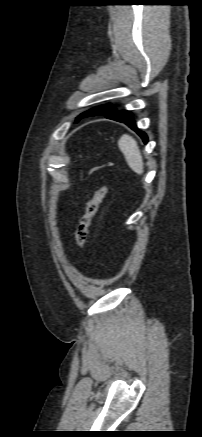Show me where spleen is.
Instances as JSON below:
<instances>
[{"label": "spleen", "instance_id": "3e777b00", "mask_svg": "<svg viewBox=\"0 0 202 437\" xmlns=\"http://www.w3.org/2000/svg\"><path fill=\"white\" fill-rule=\"evenodd\" d=\"M118 146L129 167L137 174H143L144 162L136 140L132 136L124 134L119 139Z\"/></svg>", "mask_w": 202, "mask_h": 437}]
</instances>
